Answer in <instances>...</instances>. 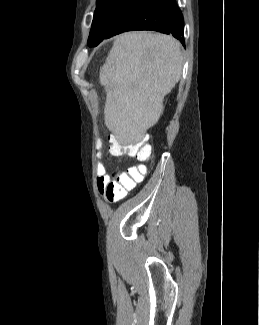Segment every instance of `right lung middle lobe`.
<instances>
[{
  "label": "right lung middle lobe",
  "instance_id": "right-lung-middle-lobe-1",
  "mask_svg": "<svg viewBox=\"0 0 259 325\" xmlns=\"http://www.w3.org/2000/svg\"><path fill=\"white\" fill-rule=\"evenodd\" d=\"M131 2L132 0H97L88 38L89 47H95L105 39L119 16Z\"/></svg>",
  "mask_w": 259,
  "mask_h": 325
}]
</instances>
